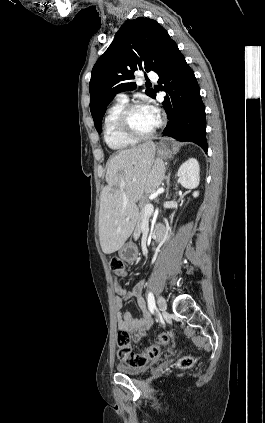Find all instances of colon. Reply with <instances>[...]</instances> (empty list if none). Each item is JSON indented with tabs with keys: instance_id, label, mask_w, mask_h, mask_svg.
Listing matches in <instances>:
<instances>
[{
	"instance_id": "colon-1",
	"label": "colon",
	"mask_w": 265,
	"mask_h": 423,
	"mask_svg": "<svg viewBox=\"0 0 265 423\" xmlns=\"http://www.w3.org/2000/svg\"><path fill=\"white\" fill-rule=\"evenodd\" d=\"M109 265L113 273H119L124 269V261L119 257H113ZM169 339L170 335L167 333L158 334L149 347L141 352H133L129 333L125 330H120L117 334V355L127 366L140 368L156 359L169 344ZM192 364L193 358L191 356H184L178 361V367L181 369L189 368Z\"/></svg>"
}]
</instances>
